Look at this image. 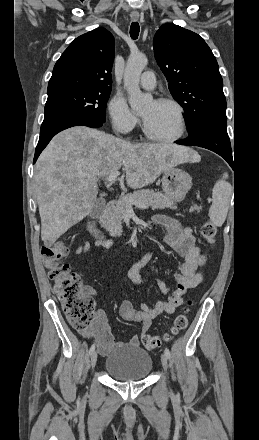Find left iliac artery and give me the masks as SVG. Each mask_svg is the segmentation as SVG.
I'll return each instance as SVG.
<instances>
[{"label": "left iliac artery", "instance_id": "44dca946", "mask_svg": "<svg viewBox=\"0 0 259 440\" xmlns=\"http://www.w3.org/2000/svg\"><path fill=\"white\" fill-rule=\"evenodd\" d=\"M165 354L168 358H170V351L168 348H165Z\"/></svg>", "mask_w": 259, "mask_h": 440}]
</instances>
